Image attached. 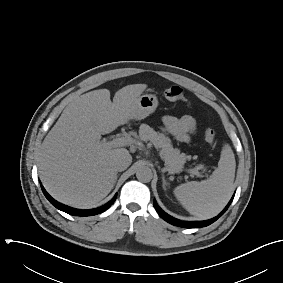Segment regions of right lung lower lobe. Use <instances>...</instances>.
Returning <instances> with one entry per match:
<instances>
[{
    "label": "right lung lower lobe",
    "instance_id": "right-lung-lower-lobe-1",
    "mask_svg": "<svg viewBox=\"0 0 283 283\" xmlns=\"http://www.w3.org/2000/svg\"><path fill=\"white\" fill-rule=\"evenodd\" d=\"M41 188H42V191H43L45 197L51 202L52 205H54L59 210L64 211V212H66L70 215H74V216H92V215L102 213L105 210H107L114 203V201L117 197V195H115L108 203H106L105 205H103L99 208L90 209V210H79V209L71 208L69 206H66V205H63V204L57 202L46 192V190L44 189L43 186H41Z\"/></svg>",
    "mask_w": 283,
    "mask_h": 283
}]
</instances>
